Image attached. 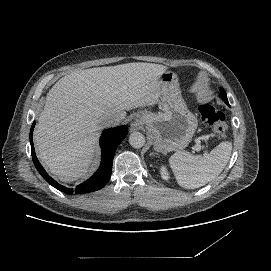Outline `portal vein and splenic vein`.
I'll return each mask as SVG.
<instances>
[{
  "label": "portal vein and splenic vein",
  "instance_id": "18ae733b",
  "mask_svg": "<svg viewBox=\"0 0 271 271\" xmlns=\"http://www.w3.org/2000/svg\"><path fill=\"white\" fill-rule=\"evenodd\" d=\"M192 150H193V152H195V153L200 152L201 146H200V144H199L197 141H194V142L192 143Z\"/></svg>",
  "mask_w": 271,
  "mask_h": 271
}]
</instances>
